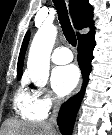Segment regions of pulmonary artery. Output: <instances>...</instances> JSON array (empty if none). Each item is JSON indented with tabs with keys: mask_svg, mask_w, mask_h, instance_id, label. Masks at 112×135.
Wrapping results in <instances>:
<instances>
[{
	"mask_svg": "<svg viewBox=\"0 0 112 135\" xmlns=\"http://www.w3.org/2000/svg\"><path fill=\"white\" fill-rule=\"evenodd\" d=\"M73 59V55L68 48L58 47L54 50L51 55V60L55 64H65L71 62Z\"/></svg>",
	"mask_w": 112,
	"mask_h": 135,
	"instance_id": "pulmonary-artery-1",
	"label": "pulmonary artery"
}]
</instances>
